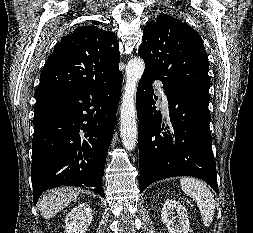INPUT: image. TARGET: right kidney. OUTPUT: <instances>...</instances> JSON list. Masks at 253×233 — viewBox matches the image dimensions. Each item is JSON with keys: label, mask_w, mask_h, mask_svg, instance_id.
Listing matches in <instances>:
<instances>
[{"label": "right kidney", "mask_w": 253, "mask_h": 233, "mask_svg": "<svg viewBox=\"0 0 253 233\" xmlns=\"http://www.w3.org/2000/svg\"><path fill=\"white\" fill-rule=\"evenodd\" d=\"M92 210L88 203H81L73 208L65 218L67 233H86L91 221Z\"/></svg>", "instance_id": "1"}]
</instances>
